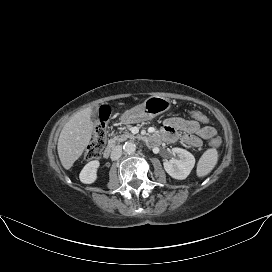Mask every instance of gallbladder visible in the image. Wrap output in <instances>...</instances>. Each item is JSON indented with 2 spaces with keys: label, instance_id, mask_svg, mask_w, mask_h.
Returning a JSON list of instances; mask_svg holds the SVG:
<instances>
[{
  "label": "gallbladder",
  "instance_id": "obj_1",
  "mask_svg": "<svg viewBox=\"0 0 272 272\" xmlns=\"http://www.w3.org/2000/svg\"><path fill=\"white\" fill-rule=\"evenodd\" d=\"M97 114H98V107L92 108V110H91V119L96 120Z\"/></svg>",
  "mask_w": 272,
  "mask_h": 272
}]
</instances>
